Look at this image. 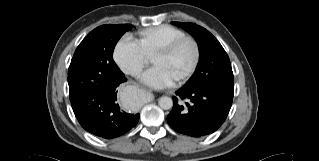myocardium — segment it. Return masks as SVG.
Returning a JSON list of instances; mask_svg holds the SVG:
<instances>
[{
    "label": "myocardium",
    "mask_w": 319,
    "mask_h": 161,
    "mask_svg": "<svg viewBox=\"0 0 319 161\" xmlns=\"http://www.w3.org/2000/svg\"><path fill=\"white\" fill-rule=\"evenodd\" d=\"M184 43L191 44L193 51H194L193 59H192L190 66L188 67V69L183 74H181L179 77H177L175 79L176 82H183V81L187 80L196 71V69L199 65V62H200V57H201L200 47H199L198 42L193 37L183 36V37L177 38V39L165 44L159 50H157V52L153 56V57H155V56L168 57L171 54H173Z\"/></svg>",
    "instance_id": "myocardium-1"
}]
</instances>
